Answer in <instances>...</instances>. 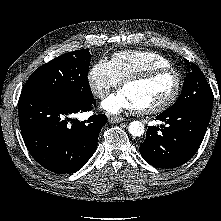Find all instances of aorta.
<instances>
[{
    "label": "aorta",
    "instance_id": "1",
    "mask_svg": "<svg viewBox=\"0 0 221 221\" xmlns=\"http://www.w3.org/2000/svg\"><path fill=\"white\" fill-rule=\"evenodd\" d=\"M128 131L132 136L140 137L144 134L145 128L142 122L140 121H133L129 123Z\"/></svg>",
    "mask_w": 221,
    "mask_h": 221
}]
</instances>
